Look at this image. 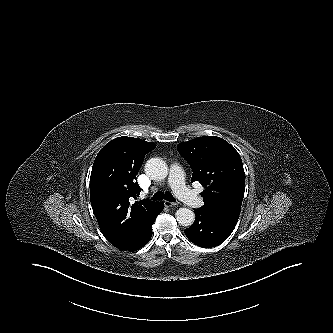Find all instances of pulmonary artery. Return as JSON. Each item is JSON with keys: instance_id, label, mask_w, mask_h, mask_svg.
Wrapping results in <instances>:
<instances>
[{"instance_id": "pulmonary-artery-1", "label": "pulmonary artery", "mask_w": 333, "mask_h": 333, "mask_svg": "<svg viewBox=\"0 0 333 333\" xmlns=\"http://www.w3.org/2000/svg\"><path fill=\"white\" fill-rule=\"evenodd\" d=\"M169 184L176 196L186 205L193 208H199L203 205L202 199L186 187L184 173L179 164L172 165L169 175Z\"/></svg>"}]
</instances>
